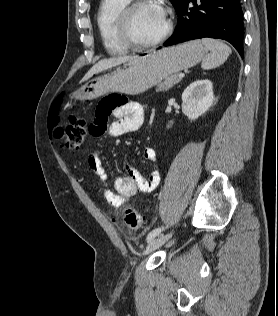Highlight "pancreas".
Wrapping results in <instances>:
<instances>
[{
    "label": "pancreas",
    "mask_w": 278,
    "mask_h": 316,
    "mask_svg": "<svg viewBox=\"0 0 278 316\" xmlns=\"http://www.w3.org/2000/svg\"><path fill=\"white\" fill-rule=\"evenodd\" d=\"M180 82V78L177 74L171 75L170 77L166 78L163 82L158 83L156 91H168L174 85Z\"/></svg>",
    "instance_id": "1"
}]
</instances>
